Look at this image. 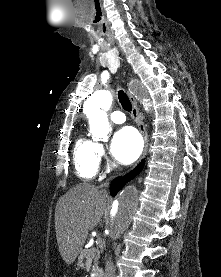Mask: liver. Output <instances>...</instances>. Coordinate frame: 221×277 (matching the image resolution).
<instances>
[{
    "label": "liver",
    "mask_w": 221,
    "mask_h": 277,
    "mask_svg": "<svg viewBox=\"0 0 221 277\" xmlns=\"http://www.w3.org/2000/svg\"><path fill=\"white\" fill-rule=\"evenodd\" d=\"M107 193L92 184H79L61 196L56 205L55 231L59 252L72 264L82 250L89 230L101 221Z\"/></svg>",
    "instance_id": "obj_1"
}]
</instances>
